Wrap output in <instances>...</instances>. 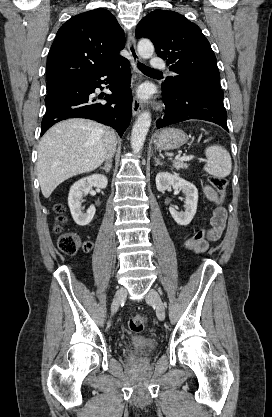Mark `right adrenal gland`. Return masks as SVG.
<instances>
[{"label": "right adrenal gland", "instance_id": "2a0ac1e0", "mask_svg": "<svg viewBox=\"0 0 272 417\" xmlns=\"http://www.w3.org/2000/svg\"><path fill=\"white\" fill-rule=\"evenodd\" d=\"M111 168H112L111 161L105 163L103 167H100V169H103L106 173L110 172Z\"/></svg>", "mask_w": 272, "mask_h": 417}]
</instances>
